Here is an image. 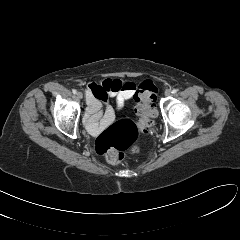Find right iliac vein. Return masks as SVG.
<instances>
[{
  "label": "right iliac vein",
  "instance_id": "63e3f726",
  "mask_svg": "<svg viewBox=\"0 0 240 240\" xmlns=\"http://www.w3.org/2000/svg\"><path fill=\"white\" fill-rule=\"evenodd\" d=\"M77 97H78L79 99H82V98H83L82 92H78V93H77Z\"/></svg>",
  "mask_w": 240,
  "mask_h": 240
}]
</instances>
